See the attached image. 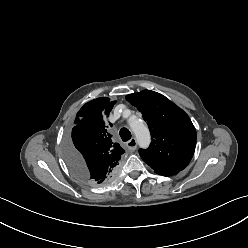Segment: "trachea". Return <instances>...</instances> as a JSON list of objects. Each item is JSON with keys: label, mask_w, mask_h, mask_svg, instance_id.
Listing matches in <instances>:
<instances>
[{"label": "trachea", "mask_w": 248, "mask_h": 248, "mask_svg": "<svg viewBox=\"0 0 248 248\" xmlns=\"http://www.w3.org/2000/svg\"><path fill=\"white\" fill-rule=\"evenodd\" d=\"M119 134L124 142L128 141L131 138V132L127 128H122Z\"/></svg>", "instance_id": "trachea-1"}]
</instances>
